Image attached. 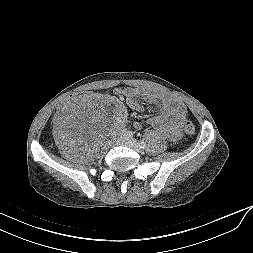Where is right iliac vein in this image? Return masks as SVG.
<instances>
[{"label":"right iliac vein","instance_id":"obj_1","mask_svg":"<svg viewBox=\"0 0 253 253\" xmlns=\"http://www.w3.org/2000/svg\"><path fill=\"white\" fill-rule=\"evenodd\" d=\"M126 137H127V136H126L125 134L120 135V136L118 137L117 142H118V143H123Z\"/></svg>","mask_w":253,"mask_h":253}]
</instances>
